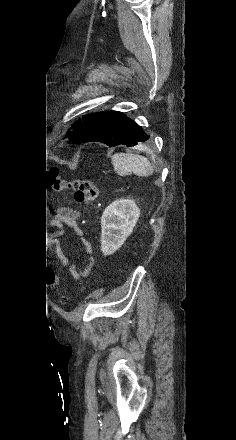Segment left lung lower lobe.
Returning <instances> with one entry per match:
<instances>
[{"label":"left lung lower lobe","instance_id":"0a47b994","mask_svg":"<svg viewBox=\"0 0 236 440\" xmlns=\"http://www.w3.org/2000/svg\"><path fill=\"white\" fill-rule=\"evenodd\" d=\"M149 136L141 126L118 111H103L87 119L69 144L102 142L110 147L117 145L135 146L146 142Z\"/></svg>","mask_w":236,"mask_h":440}]
</instances>
